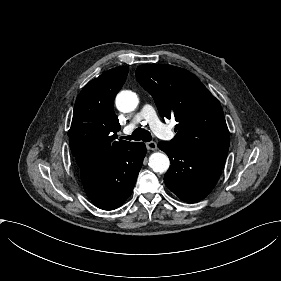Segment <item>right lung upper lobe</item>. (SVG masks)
<instances>
[{
	"mask_svg": "<svg viewBox=\"0 0 281 281\" xmlns=\"http://www.w3.org/2000/svg\"><path fill=\"white\" fill-rule=\"evenodd\" d=\"M128 70L127 66L117 67L91 80L75 102L68 137L75 163L82 172L114 160L131 143L115 141L120 124L113 108Z\"/></svg>",
	"mask_w": 281,
	"mask_h": 281,
	"instance_id": "1",
	"label": "right lung upper lobe"
}]
</instances>
